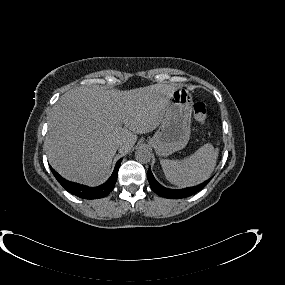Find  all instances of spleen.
<instances>
[{
	"instance_id": "obj_1",
	"label": "spleen",
	"mask_w": 285,
	"mask_h": 285,
	"mask_svg": "<svg viewBox=\"0 0 285 285\" xmlns=\"http://www.w3.org/2000/svg\"><path fill=\"white\" fill-rule=\"evenodd\" d=\"M217 158L218 149L205 144L182 161L163 159L160 163L169 182L188 187L207 180L216 166Z\"/></svg>"
}]
</instances>
